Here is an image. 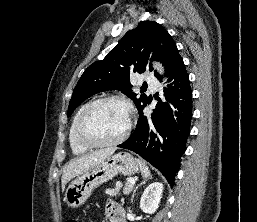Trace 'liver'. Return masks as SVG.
<instances>
[{
	"mask_svg": "<svg viewBox=\"0 0 257 222\" xmlns=\"http://www.w3.org/2000/svg\"><path fill=\"white\" fill-rule=\"evenodd\" d=\"M115 148H107L95 151L89 155H85L80 158L71 160L63 170L61 179L62 190L65 189V185L74 177L88 171L94 167L97 163L103 161L107 157L111 156L115 152Z\"/></svg>",
	"mask_w": 257,
	"mask_h": 222,
	"instance_id": "6515ba94",
	"label": "liver"
}]
</instances>
